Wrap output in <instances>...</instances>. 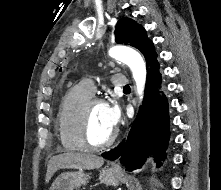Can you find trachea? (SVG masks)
<instances>
[{"instance_id": "trachea-1", "label": "trachea", "mask_w": 221, "mask_h": 190, "mask_svg": "<svg viewBox=\"0 0 221 190\" xmlns=\"http://www.w3.org/2000/svg\"><path fill=\"white\" fill-rule=\"evenodd\" d=\"M124 90H130V87H129L128 85H126V86L124 87Z\"/></svg>"}]
</instances>
